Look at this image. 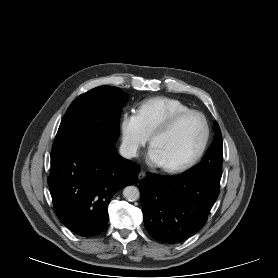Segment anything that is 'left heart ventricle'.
I'll list each match as a JSON object with an SVG mask.
<instances>
[{
    "mask_svg": "<svg viewBox=\"0 0 278 278\" xmlns=\"http://www.w3.org/2000/svg\"><path fill=\"white\" fill-rule=\"evenodd\" d=\"M204 135L202 120L194 115L182 119L168 133L159 135L152 146L163 165L179 164L190 158L199 148Z\"/></svg>",
    "mask_w": 278,
    "mask_h": 278,
    "instance_id": "1",
    "label": "left heart ventricle"
}]
</instances>
